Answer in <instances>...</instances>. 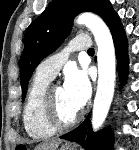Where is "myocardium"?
<instances>
[{"label":"myocardium","mask_w":139,"mask_h":150,"mask_svg":"<svg viewBox=\"0 0 139 150\" xmlns=\"http://www.w3.org/2000/svg\"><path fill=\"white\" fill-rule=\"evenodd\" d=\"M56 85L48 86L45 91L43 102H42V117L45 123L54 130H65L76 125L81 116V111H78L77 114L69 121H62L56 110L55 100H54V89Z\"/></svg>","instance_id":"1"}]
</instances>
